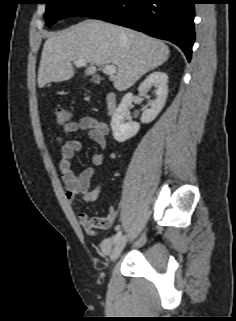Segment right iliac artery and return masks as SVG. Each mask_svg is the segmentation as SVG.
I'll return each instance as SVG.
<instances>
[{"mask_svg":"<svg viewBox=\"0 0 236 321\" xmlns=\"http://www.w3.org/2000/svg\"><path fill=\"white\" fill-rule=\"evenodd\" d=\"M121 238V231H119L113 238L114 243H116Z\"/></svg>","mask_w":236,"mask_h":321,"instance_id":"right-iliac-artery-1","label":"right iliac artery"}]
</instances>
